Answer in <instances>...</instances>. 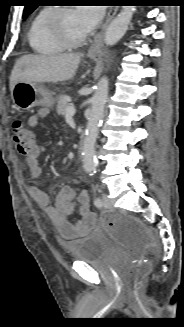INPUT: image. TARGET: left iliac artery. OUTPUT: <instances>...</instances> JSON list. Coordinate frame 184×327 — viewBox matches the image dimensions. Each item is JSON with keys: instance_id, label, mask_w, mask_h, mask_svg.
Masks as SVG:
<instances>
[{"instance_id": "left-iliac-artery-1", "label": "left iliac artery", "mask_w": 184, "mask_h": 327, "mask_svg": "<svg viewBox=\"0 0 184 327\" xmlns=\"http://www.w3.org/2000/svg\"><path fill=\"white\" fill-rule=\"evenodd\" d=\"M94 204L97 206V207H101L102 206V200L100 198H96L94 200Z\"/></svg>"}]
</instances>
